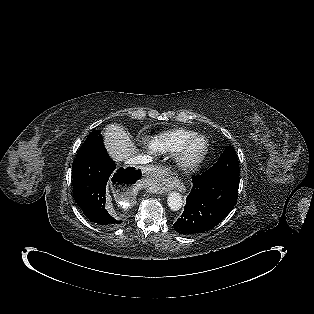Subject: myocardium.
<instances>
[{
  "label": "myocardium",
  "instance_id": "f54148a6",
  "mask_svg": "<svg viewBox=\"0 0 314 314\" xmlns=\"http://www.w3.org/2000/svg\"><path fill=\"white\" fill-rule=\"evenodd\" d=\"M208 149L209 144L204 136L196 135L190 138L177 154V166L183 170L197 168L206 158Z\"/></svg>",
  "mask_w": 314,
  "mask_h": 314
}]
</instances>
